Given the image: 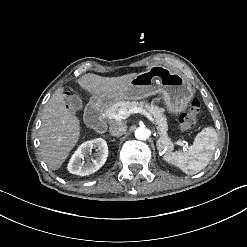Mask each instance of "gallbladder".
Instances as JSON below:
<instances>
[{"label":"gallbladder","instance_id":"obj_1","mask_svg":"<svg viewBox=\"0 0 247 247\" xmlns=\"http://www.w3.org/2000/svg\"><path fill=\"white\" fill-rule=\"evenodd\" d=\"M68 104L71 112H75L83 108L82 100L78 95L70 96L68 98Z\"/></svg>","mask_w":247,"mask_h":247}]
</instances>
